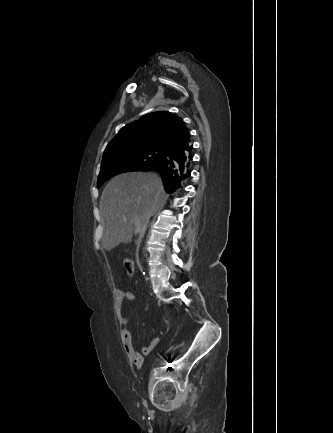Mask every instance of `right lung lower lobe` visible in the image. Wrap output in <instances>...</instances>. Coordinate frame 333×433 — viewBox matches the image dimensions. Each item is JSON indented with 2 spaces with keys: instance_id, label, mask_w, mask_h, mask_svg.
<instances>
[{
  "instance_id": "98d812e1",
  "label": "right lung lower lobe",
  "mask_w": 333,
  "mask_h": 433,
  "mask_svg": "<svg viewBox=\"0 0 333 433\" xmlns=\"http://www.w3.org/2000/svg\"><path fill=\"white\" fill-rule=\"evenodd\" d=\"M193 145L181 147L166 153L161 162L154 165L149 171L160 173L164 188L168 193H173L182 187L185 179L190 176Z\"/></svg>"
}]
</instances>
